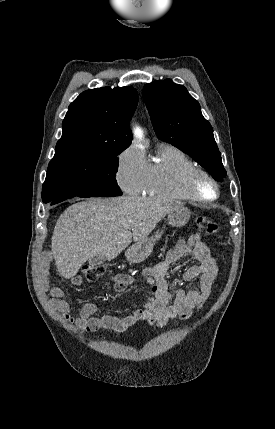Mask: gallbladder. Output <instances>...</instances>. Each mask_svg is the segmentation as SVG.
I'll return each instance as SVG.
<instances>
[{
  "mask_svg": "<svg viewBox=\"0 0 275 429\" xmlns=\"http://www.w3.org/2000/svg\"><path fill=\"white\" fill-rule=\"evenodd\" d=\"M105 261V257L101 255H96L95 257L89 260L91 266H99Z\"/></svg>",
  "mask_w": 275,
  "mask_h": 429,
  "instance_id": "1",
  "label": "gallbladder"
}]
</instances>
